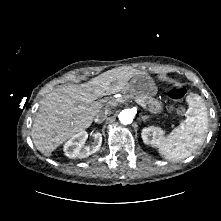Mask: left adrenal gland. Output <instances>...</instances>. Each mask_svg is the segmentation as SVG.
<instances>
[{
    "mask_svg": "<svg viewBox=\"0 0 221 221\" xmlns=\"http://www.w3.org/2000/svg\"><path fill=\"white\" fill-rule=\"evenodd\" d=\"M142 120L145 121L147 119H149L150 117L149 116H141Z\"/></svg>",
    "mask_w": 221,
    "mask_h": 221,
    "instance_id": "obj_1",
    "label": "left adrenal gland"
}]
</instances>
